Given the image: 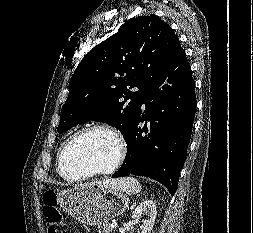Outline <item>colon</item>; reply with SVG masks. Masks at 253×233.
Returning a JSON list of instances; mask_svg holds the SVG:
<instances>
[{
	"instance_id": "5ec220e1",
	"label": "colon",
	"mask_w": 253,
	"mask_h": 233,
	"mask_svg": "<svg viewBox=\"0 0 253 233\" xmlns=\"http://www.w3.org/2000/svg\"><path fill=\"white\" fill-rule=\"evenodd\" d=\"M43 203V215L48 233H67V226L58 208L55 191L50 190L45 192Z\"/></svg>"
}]
</instances>
